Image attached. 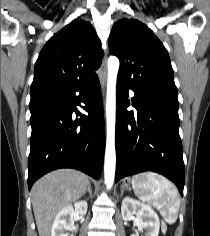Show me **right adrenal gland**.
I'll return each instance as SVG.
<instances>
[{
	"mask_svg": "<svg viewBox=\"0 0 210 236\" xmlns=\"http://www.w3.org/2000/svg\"><path fill=\"white\" fill-rule=\"evenodd\" d=\"M86 192H88L89 197L92 198V188H91V183L90 182L88 184V188H87ZM86 192L84 193V195L86 194Z\"/></svg>",
	"mask_w": 210,
	"mask_h": 236,
	"instance_id": "right-adrenal-gland-1",
	"label": "right adrenal gland"
}]
</instances>
